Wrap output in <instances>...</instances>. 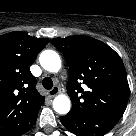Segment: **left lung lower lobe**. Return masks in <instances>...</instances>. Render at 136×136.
I'll return each mask as SVG.
<instances>
[{"label":"left lung lower lobe","instance_id":"1","mask_svg":"<svg viewBox=\"0 0 136 136\" xmlns=\"http://www.w3.org/2000/svg\"><path fill=\"white\" fill-rule=\"evenodd\" d=\"M60 120L69 131L77 136H101L113 128L118 118L68 113L61 116Z\"/></svg>","mask_w":136,"mask_h":136}]
</instances>
